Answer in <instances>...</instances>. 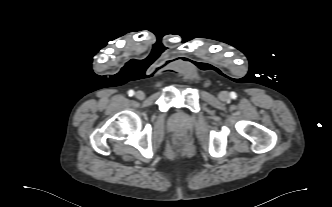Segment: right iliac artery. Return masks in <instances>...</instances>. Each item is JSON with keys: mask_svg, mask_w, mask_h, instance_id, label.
Segmentation results:
<instances>
[{"mask_svg": "<svg viewBox=\"0 0 332 207\" xmlns=\"http://www.w3.org/2000/svg\"><path fill=\"white\" fill-rule=\"evenodd\" d=\"M128 95L132 97L134 95V91L133 90H129L128 91Z\"/></svg>", "mask_w": 332, "mask_h": 207, "instance_id": "obj_1", "label": "right iliac artery"}]
</instances>
